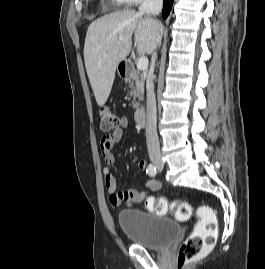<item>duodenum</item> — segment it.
Returning <instances> with one entry per match:
<instances>
[{
	"mask_svg": "<svg viewBox=\"0 0 265 269\" xmlns=\"http://www.w3.org/2000/svg\"><path fill=\"white\" fill-rule=\"evenodd\" d=\"M121 75L123 78H131L133 76V68L130 62H127L121 67ZM135 122L138 125H144L146 122V110L144 108H138L135 111Z\"/></svg>",
	"mask_w": 265,
	"mask_h": 269,
	"instance_id": "duodenum-1",
	"label": "duodenum"
}]
</instances>
